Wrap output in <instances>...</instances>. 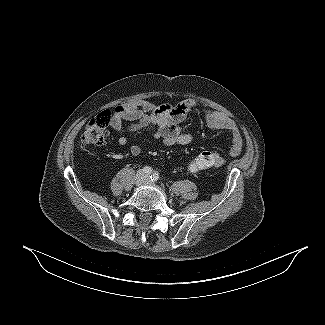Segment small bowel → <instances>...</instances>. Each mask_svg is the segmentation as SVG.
Instances as JSON below:
<instances>
[{
	"label": "small bowel",
	"mask_w": 325,
	"mask_h": 325,
	"mask_svg": "<svg viewBox=\"0 0 325 325\" xmlns=\"http://www.w3.org/2000/svg\"><path fill=\"white\" fill-rule=\"evenodd\" d=\"M136 106L139 109H135ZM196 106V101L191 99L178 104L163 103L159 105L141 101L137 105L126 106L127 110L124 114L114 116L111 127L119 135L118 143L121 146L128 143L126 134L141 131L149 126L157 127L154 137L162 140L164 144L168 146H185L191 144L194 138L191 134L181 130L180 123L185 119L188 112ZM203 116L211 130H226L231 133L232 146L230 153L238 155L242 150L243 140L235 123L224 114L216 111L203 110ZM124 121L128 122V124L124 125ZM129 153L137 156L141 153V147L132 145L129 148ZM192 165L193 162L191 161L188 165L189 172Z\"/></svg>",
	"instance_id": "1"
}]
</instances>
